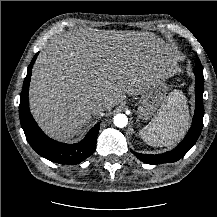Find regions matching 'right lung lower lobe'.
Returning a JSON list of instances; mask_svg holds the SVG:
<instances>
[{
  "label": "right lung lower lobe",
  "instance_id": "98d812e1",
  "mask_svg": "<svg viewBox=\"0 0 217 217\" xmlns=\"http://www.w3.org/2000/svg\"><path fill=\"white\" fill-rule=\"evenodd\" d=\"M34 56L28 67L27 76L24 80L23 90L20 95L19 114L21 126L27 141L31 147L42 157L56 163L74 165L89 157L95 150L99 123L96 124L77 144H63L47 137L33 119L28 104V88L30 83L32 65L36 60Z\"/></svg>",
  "mask_w": 217,
  "mask_h": 217
}]
</instances>
